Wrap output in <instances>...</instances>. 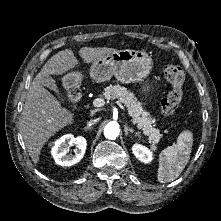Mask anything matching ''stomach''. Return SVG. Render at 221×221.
Masks as SVG:
<instances>
[{
    "instance_id": "0dacf381",
    "label": "stomach",
    "mask_w": 221,
    "mask_h": 221,
    "mask_svg": "<svg viewBox=\"0 0 221 221\" xmlns=\"http://www.w3.org/2000/svg\"><path fill=\"white\" fill-rule=\"evenodd\" d=\"M152 64L151 57L144 50H118L94 61L90 67V76L97 82H105L114 76L121 83H140L150 74ZM65 80L77 85L81 81V74L68 73Z\"/></svg>"
}]
</instances>
